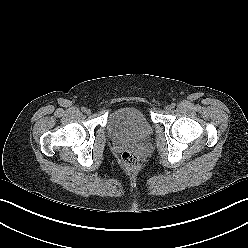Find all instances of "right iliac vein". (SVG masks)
<instances>
[{"label":"right iliac vein","mask_w":248,"mask_h":248,"mask_svg":"<svg viewBox=\"0 0 248 248\" xmlns=\"http://www.w3.org/2000/svg\"><path fill=\"white\" fill-rule=\"evenodd\" d=\"M86 113H87V114H90V113H91V110H90V109H87V110H86Z\"/></svg>","instance_id":"63e3f726"}]
</instances>
